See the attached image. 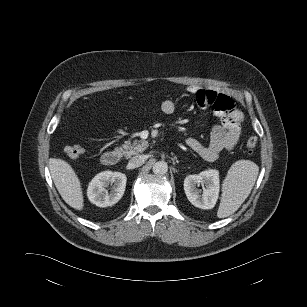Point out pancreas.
I'll use <instances>...</instances> for the list:
<instances>
[{
    "mask_svg": "<svg viewBox=\"0 0 307 307\" xmlns=\"http://www.w3.org/2000/svg\"><path fill=\"white\" fill-rule=\"evenodd\" d=\"M148 146L149 143L145 140H128L119 149L126 158H129L132 155L142 153L147 149Z\"/></svg>",
    "mask_w": 307,
    "mask_h": 307,
    "instance_id": "cf45deb5",
    "label": "pancreas"
}]
</instances>
